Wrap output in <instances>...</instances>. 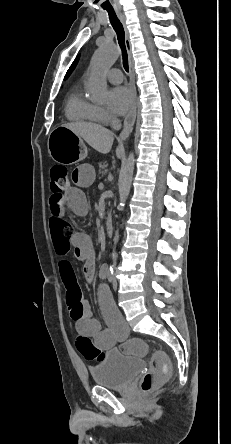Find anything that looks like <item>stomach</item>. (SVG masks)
<instances>
[{"mask_svg": "<svg viewBox=\"0 0 231 444\" xmlns=\"http://www.w3.org/2000/svg\"><path fill=\"white\" fill-rule=\"evenodd\" d=\"M48 150L52 159L62 164H73L87 156V148L83 140L63 126L51 132Z\"/></svg>", "mask_w": 231, "mask_h": 444, "instance_id": "stomach-1", "label": "stomach"}]
</instances>
